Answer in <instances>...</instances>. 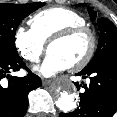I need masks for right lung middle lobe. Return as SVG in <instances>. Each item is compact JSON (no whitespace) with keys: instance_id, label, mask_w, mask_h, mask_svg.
<instances>
[{"instance_id":"1","label":"right lung middle lobe","mask_w":117,"mask_h":117,"mask_svg":"<svg viewBox=\"0 0 117 117\" xmlns=\"http://www.w3.org/2000/svg\"><path fill=\"white\" fill-rule=\"evenodd\" d=\"M45 3L0 4V59L18 57L15 47V32L20 22Z\"/></svg>"}]
</instances>
